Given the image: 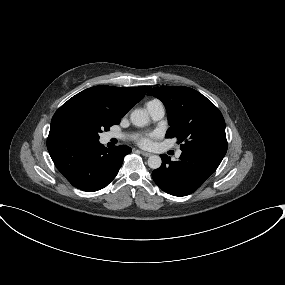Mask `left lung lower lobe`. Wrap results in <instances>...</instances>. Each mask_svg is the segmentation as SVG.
Returning a JSON list of instances; mask_svg holds the SVG:
<instances>
[{
    "label": "left lung lower lobe",
    "instance_id": "left-lung-lower-lobe-1",
    "mask_svg": "<svg viewBox=\"0 0 285 285\" xmlns=\"http://www.w3.org/2000/svg\"><path fill=\"white\" fill-rule=\"evenodd\" d=\"M160 156L162 165L152 172L153 180L164 192L174 196L196 191L223 159V156L201 151H182L178 161H171L164 154Z\"/></svg>",
    "mask_w": 285,
    "mask_h": 285
}]
</instances>
